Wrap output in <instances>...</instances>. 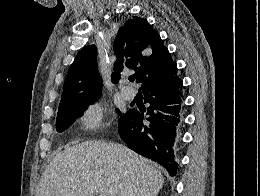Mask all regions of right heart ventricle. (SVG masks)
Returning a JSON list of instances; mask_svg holds the SVG:
<instances>
[{"label": "right heart ventricle", "instance_id": "1", "mask_svg": "<svg viewBox=\"0 0 260 196\" xmlns=\"http://www.w3.org/2000/svg\"><path fill=\"white\" fill-rule=\"evenodd\" d=\"M64 192H84L83 190H64Z\"/></svg>", "mask_w": 260, "mask_h": 196}]
</instances>
